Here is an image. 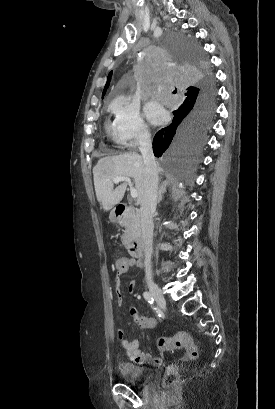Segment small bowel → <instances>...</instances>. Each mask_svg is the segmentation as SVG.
<instances>
[{"label": "small bowel", "mask_w": 275, "mask_h": 409, "mask_svg": "<svg viewBox=\"0 0 275 409\" xmlns=\"http://www.w3.org/2000/svg\"><path fill=\"white\" fill-rule=\"evenodd\" d=\"M125 267L127 271L129 268H138L140 267V264L126 259ZM114 282L116 284H119L121 282L122 275L120 273H115L113 275ZM136 284L135 281H132L128 285V291L130 294H132L135 290ZM114 303L118 306L122 305L123 303V296L122 293L119 289L116 290L115 297H114ZM130 315L133 317V322L136 323V326L138 328H149L152 329L156 326V319L153 317H144L141 316L137 309L135 307H130L129 309ZM118 340L120 342V345L122 346V349L124 351H129L127 353V358L129 360H135L137 363L143 364V365H154L158 366L163 363V357H152L151 355L144 354L140 352L139 345H140V340L138 338H128L125 337V331L124 330H119L118 331Z\"/></svg>", "instance_id": "small-bowel-1"}]
</instances>
